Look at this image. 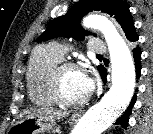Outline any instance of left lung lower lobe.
I'll use <instances>...</instances> for the list:
<instances>
[{
  "mask_svg": "<svg viewBox=\"0 0 153 134\" xmlns=\"http://www.w3.org/2000/svg\"><path fill=\"white\" fill-rule=\"evenodd\" d=\"M133 57H134V61H135V67H136V78L139 79L140 77V73H141V49L139 48V46L137 45L133 50ZM102 77V80L104 81V83H106V69L104 67H102V69L99 71ZM136 100V95H134L129 107L127 108V110L125 111V113L117 120L116 124H120L122 127L126 128L127 124H128V120H129V115L131 113L132 107L134 106Z\"/></svg>",
  "mask_w": 153,
  "mask_h": 134,
  "instance_id": "1",
  "label": "left lung lower lobe"
}]
</instances>
